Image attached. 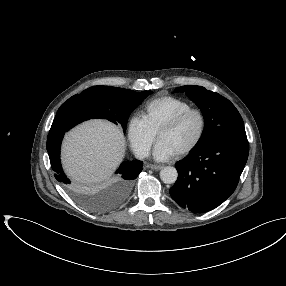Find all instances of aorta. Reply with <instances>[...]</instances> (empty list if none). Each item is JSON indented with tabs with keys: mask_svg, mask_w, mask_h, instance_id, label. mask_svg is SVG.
Returning a JSON list of instances; mask_svg holds the SVG:
<instances>
[{
	"mask_svg": "<svg viewBox=\"0 0 286 286\" xmlns=\"http://www.w3.org/2000/svg\"><path fill=\"white\" fill-rule=\"evenodd\" d=\"M178 177L177 170L174 167L167 166L160 171V178L164 183L173 184Z\"/></svg>",
	"mask_w": 286,
	"mask_h": 286,
	"instance_id": "762f6f07",
	"label": "aorta"
}]
</instances>
